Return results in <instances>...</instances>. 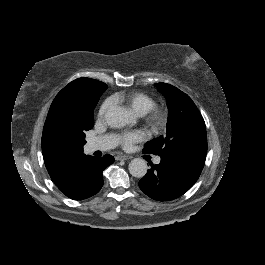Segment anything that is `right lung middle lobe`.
<instances>
[{"instance_id": "obj_1", "label": "right lung middle lobe", "mask_w": 265, "mask_h": 265, "mask_svg": "<svg viewBox=\"0 0 265 265\" xmlns=\"http://www.w3.org/2000/svg\"><path fill=\"white\" fill-rule=\"evenodd\" d=\"M106 89L107 87L85 93L72 101L60 134L61 141L71 149L83 151V145L86 143L85 131L92 129L94 108Z\"/></svg>"}]
</instances>
